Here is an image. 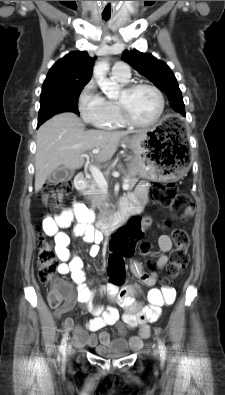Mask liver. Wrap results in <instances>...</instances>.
Instances as JSON below:
<instances>
[{
	"instance_id": "6515ba94",
	"label": "liver",
	"mask_w": 225,
	"mask_h": 395,
	"mask_svg": "<svg viewBox=\"0 0 225 395\" xmlns=\"http://www.w3.org/2000/svg\"><path fill=\"white\" fill-rule=\"evenodd\" d=\"M147 130L137 134L145 135ZM128 131L107 132L85 130L80 118L71 112L58 114L37 131L35 156V192H39L48 176L60 166L69 170L83 166L86 152L100 149L94 158L107 162L115 154L120 140Z\"/></svg>"
}]
</instances>
